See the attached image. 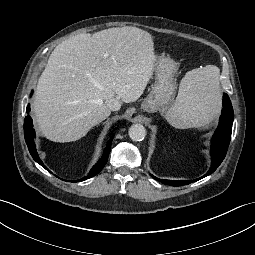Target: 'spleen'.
Listing matches in <instances>:
<instances>
[{
	"mask_svg": "<svg viewBox=\"0 0 255 255\" xmlns=\"http://www.w3.org/2000/svg\"><path fill=\"white\" fill-rule=\"evenodd\" d=\"M217 66L188 71L182 78L175 102L165 118L175 128L186 129L208 124L218 113L221 90Z\"/></svg>",
	"mask_w": 255,
	"mask_h": 255,
	"instance_id": "1",
	"label": "spleen"
}]
</instances>
